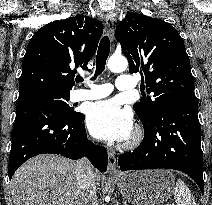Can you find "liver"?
I'll return each mask as SVG.
<instances>
[{
	"mask_svg": "<svg viewBox=\"0 0 212 205\" xmlns=\"http://www.w3.org/2000/svg\"><path fill=\"white\" fill-rule=\"evenodd\" d=\"M76 164L54 154L29 159L12 177L13 204L77 205Z\"/></svg>",
	"mask_w": 212,
	"mask_h": 205,
	"instance_id": "liver-1",
	"label": "liver"
}]
</instances>
